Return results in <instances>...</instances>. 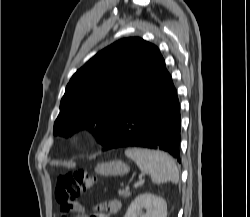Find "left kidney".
<instances>
[{"instance_id":"obj_1","label":"left kidney","mask_w":250,"mask_h":217,"mask_svg":"<svg viewBox=\"0 0 250 217\" xmlns=\"http://www.w3.org/2000/svg\"><path fill=\"white\" fill-rule=\"evenodd\" d=\"M143 208L146 213H142ZM124 217H167L166 201L151 193L141 194L130 204Z\"/></svg>"}]
</instances>
